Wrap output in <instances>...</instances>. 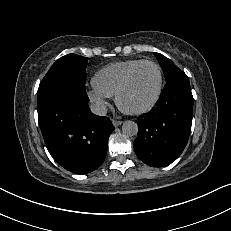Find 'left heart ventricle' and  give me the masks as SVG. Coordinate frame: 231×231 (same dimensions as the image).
Segmentation results:
<instances>
[{
	"label": "left heart ventricle",
	"instance_id": "obj_1",
	"mask_svg": "<svg viewBox=\"0 0 231 231\" xmlns=\"http://www.w3.org/2000/svg\"><path fill=\"white\" fill-rule=\"evenodd\" d=\"M158 85L157 69L146 64L137 70L122 96V104L128 109H139L154 97Z\"/></svg>",
	"mask_w": 231,
	"mask_h": 231
}]
</instances>
